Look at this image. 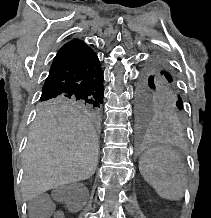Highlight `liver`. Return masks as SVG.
Masks as SVG:
<instances>
[{"label": "liver", "instance_id": "obj_1", "mask_svg": "<svg viewBox=\"0 0 211 218\" xmlns=\"http://www.w3.org/2000/svg\"><path fill=\"white\" fill-rule=\"evenodd\" d=\"M22 192L26 200L93 176L98 164L96 132L74 108L41 110L28 134Z\"/></svg>", "mask_w": 211, "mask_h": 218}]
</instances>
